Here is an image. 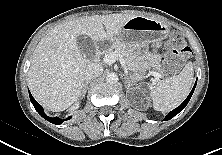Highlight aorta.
<instances>
[{
    "label": "aorta",
    "instance_id": "obj_1",
    "mask_svg": "<svg viewBox=\"0 0 222 155\" xmlns=\"http://www.w3.org/2000/svg\"><path fill=\"white\" fill-rule=\"evenodd\" d=\"M106 82L108 83H117L118 82V75L116 73H108L106 76Z\"/></svg>",
    "mask_w": 222,
    "mask_h": 155
}]
</instances>
